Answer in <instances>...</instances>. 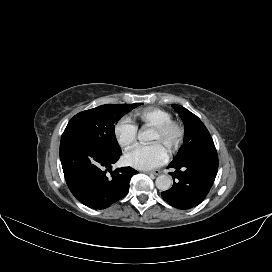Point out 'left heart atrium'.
<instances>
[{
  "label": "left heart atrium",
  "mask_w": 272,
  "mask_h": 272,
  "mask_svg": "<svg viewBox=\"0 0 272 272\" xmlns=\"http://www.w3.org/2000/svg\"><path fill=\"white\" fill-rule=\"evenodd\" d=\"M125 158L134 168L150 170L165 162L167 153L160 142H154L150 145L136 146L126 154Z\"/></svg>",
  "instance_id": "39dd6f15"
}]
</instances>
